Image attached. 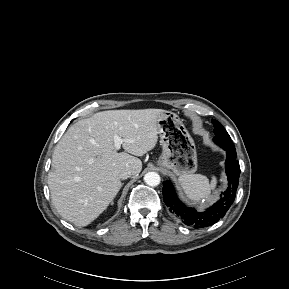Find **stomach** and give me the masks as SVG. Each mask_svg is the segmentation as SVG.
<instances>
[{
  "mask_svg": "<svg viewBox=\"0 0 289 289\" xmlns=\"http://www.w3.org/2000/svg\"><path fill=\"white\" fill-rule=\"evenodd\" d=\"M156 125L162 146L158 166L177 176L193 174L197 170V153L183 120L174 112L163 111Z\"/></svg>",
  "mask_w": 289,
  "mask_h": 289,
  "instance_id": "obj_1",
  "label": "stomach"
}]
</instances>
